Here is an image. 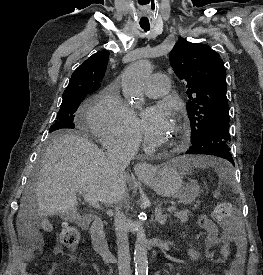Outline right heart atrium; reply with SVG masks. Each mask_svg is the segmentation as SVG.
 <instances>
[{
    "instance_id": "d8ad5b80",
    "label": "right heart atrium",
    "mask_w": 263,
    "mask_h": 275,
    "mask_svg": "<svg viewBox=\"0 0 263 275\" xmlns=\"http://www.w3.org/2000/svg\"><path fill=\"white\" fill-rule=\"evenodd\" d=\"M86 123L107 148L134 151L140 144L133 114L114 89L96 96L88 108Z\"/></svg>"
}]
</instances>
